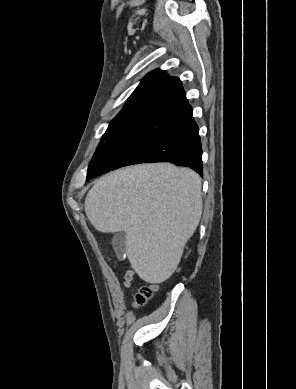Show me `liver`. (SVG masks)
<instances>
[{
	"mask_svg": "<svg viewBox=\"0 0 296 389\" xmlns=\"http://www.w3.org/2000/svg\"><path fill=\"white\" fill-rule=\"evenodd\" d=\"M84 208L96 230L125 232L132 268L159 284L174 273L199 224L201 179L171 163L135 165L100 178Z\"/></svg>",
	"mask_w": 296,
	"mask_h": 389,
	"instance_id": "liver-1",
	"label": "liver"
}]
</instances>
